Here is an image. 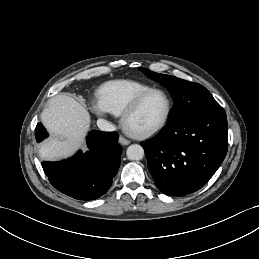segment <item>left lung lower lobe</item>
Returning <instances> with one entry per match:
<instances>
[{"label": "left lung lower lobe", "instance_id": "left-lung-lower-lobe-1", "mask_svg": "<svg viewBox=\"0 0 259 259\" xmlns=\"http://www.w3.org/2000/svg\"><path fill=\"white\" fill-rule=\"evenodd\" d=\"M227 135L222 107L167 124L158 135L141 143L156 186L172 196L202 188L226 156Z\"/></svg>", "mask_w": 259, "mask_h": 259}]
</instances>
